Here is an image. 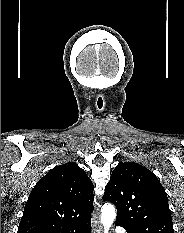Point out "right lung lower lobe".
<instances>
[{"instance_id": "right-lung-lower-lobe-1", "label": "right lung lower lobe", "mask_w": 184, "mask_h": 233, "mask_svg": "<svg viewBox=\"0 0 184 233\" xmlns=\"http://www.w3.org/2000/svg\"><path fill=\"white\" fill-rule=\"evenodd\" d=\"M90 231H91V218L79 224L67 227L62 231H57L54 233H90Z\"/></svg>"}]
</instances>
